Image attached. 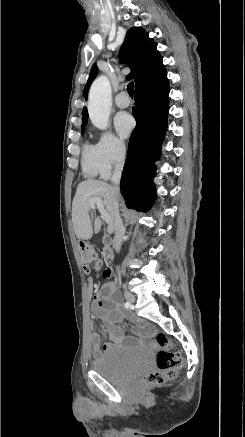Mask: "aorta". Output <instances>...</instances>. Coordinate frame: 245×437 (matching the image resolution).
<instances>
[{
	"label": "aorta",
	"instance_id": "762f6f07",
	"mask_svg": "<svg viewBox=\"0 0 245 437\" xmlns=\"http://www.w3.org/2000/svg\"><path fill=\"white\" fill-rule=\"evenodd\" d=\"M110 107L111 84L106 76H100L92 83L88 98L89 118L95 127L107 128Z\"/></svg>",
	"mask_w": 245,
	"mask_h": 437
}]
</instances>
